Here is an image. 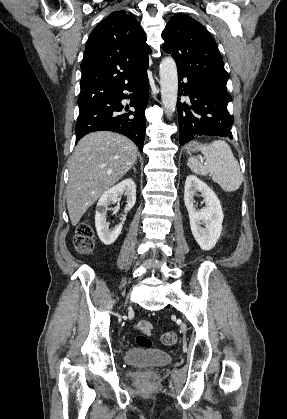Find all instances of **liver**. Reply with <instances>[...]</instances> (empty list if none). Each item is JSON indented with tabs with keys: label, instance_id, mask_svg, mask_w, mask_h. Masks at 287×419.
I'll use <instances>...</instances> for the list:
<instances>
[{
	"label": "liver",
	"instance_id": "1",
	"mask_svg": "<svg viewBox=\"0 0 287 419\" xmlns=\"http://www.w3.org/2000/svg\"><path fill=\"white\" fill-rule=\"evenodd\" d=\"M137 156L138 148L130 139L110 131L90 133L78 142L69 162L66 191L73 226L131 169Z\"/></svg>",
	"mask_w": 287,
	"mask_h": 419
}]
</instances>
